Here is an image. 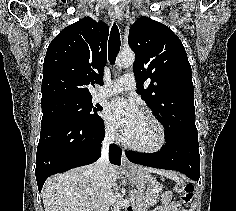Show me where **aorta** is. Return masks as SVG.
I'll use <instances>...</instances> for the list:
<instances>
[{"label": "aorta", "instance_id": "aorta-1", "mask_svg": "<svg viewBox=\"0 0 236 211\" xmlns=\"http://www.w3.org/2000/svg\"><path fill=\"white\" fill-rule=\"evenodd\" d=\"M135 54L133 52H121L116 58V64L119 67H130L134 64ZM112 211H120L118 204L113 205Z\"/></svg>", "mask_w": 236, "mask_h": 211}]
</instances>
